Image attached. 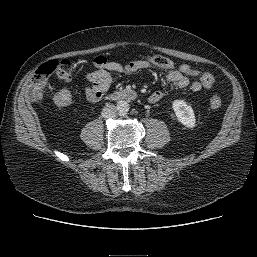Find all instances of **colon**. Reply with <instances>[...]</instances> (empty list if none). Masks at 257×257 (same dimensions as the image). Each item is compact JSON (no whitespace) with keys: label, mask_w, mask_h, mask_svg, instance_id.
I'll return each mask as SVG.
<instances>
[{"label":"colon","mask_w":257,"mask_h":257,"mask_svg":"<svg viewBox=\"0 0 257 257\" xmlns=\"http://www.w3.org/2000/svg\"><path fill=\"white\" fill-rule=\"evenodd\" d=\"M146 59L161 68L177 69L182 74L198 80L205 88H212L215 85V77L211 73L200 72L189 65L176 66L169 58L161 55L147 56ZM51 76H55L62 83H69L72 80L71 62L67 59H63L60 61L50 60L42 64L35 71L31 85L28 88V96L32 100L36 101L41 99L43 89ZM71 100V95L66 90L59 92L54 99L55 103L61 107L69 105ZM209 104L211 108L218 109L222 106V99L218 94H213L210 96Z\"/></svg>","instance_id":"1"}]
</instances>
